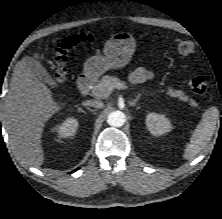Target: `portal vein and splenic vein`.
Instances as JSON below:
<instances>
[{"instance_id": "obj_1", "label": "portal vein and splenic vein", "mask_w": 222, "mask_h": 219, "mask_svg": "<svg viewBox=\"0 0 222 219\" xmlns=\"http://www.w3.org/2000/svg\"><path fill=\"white\" fill-rule=\"evenodd\" d=\"M114 88L128 89V87L124 83H121V82L113 83L111 86H109V91H112Z\"/></svg>"}]
</instances>
